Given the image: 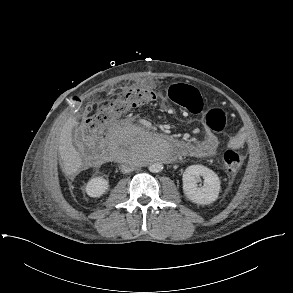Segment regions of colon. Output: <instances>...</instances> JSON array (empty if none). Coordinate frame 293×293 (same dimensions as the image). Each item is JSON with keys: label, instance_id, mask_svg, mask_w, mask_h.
Segmentation results:
<instances>
[{"label": "colon", "instance_id": "5ec220e1", "mask_svg": "<svg viewBox=\"0 0 293 293\" xmlns=\"http://www.w3.org/2000/svg\"><path fill=\"white\" fill-rule=\"evenodd\" d=\"M153 99V92L145 87H132L125 94L101 105L89 116L87 130L91 134L101 132L110 122L130 110L149 104ZM171 100L186 110L198 113L203 108V100L198 90L190 85L178 84L173 86ZM206 126L215 132H222L228 122V114L221 108H212L205 113ZM223 162L227 171L236 172L241 164L242 157L234 150H226L223 153Z\"/></svg>", "mask_w": 293, "mask_h": 293}]
</instances>
